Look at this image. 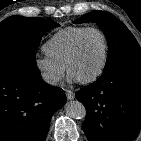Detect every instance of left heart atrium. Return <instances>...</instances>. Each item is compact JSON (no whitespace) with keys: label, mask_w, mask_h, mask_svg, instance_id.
<instances>
[{"label":"left heart atrium","mask_w":141,"mask_h":141,"mask_svg":"<svg viewBox=\"0 0 141 141\" xmlns=\"http://www.w3.org/2000/svg\"><path fill=\"white\" fill-rule=\"evenodd\" d=\"M68 81L69 82H76V81H78V79L72 73H69Z\"/></svg>","instance_id":"obj_1"}]
</instances>
